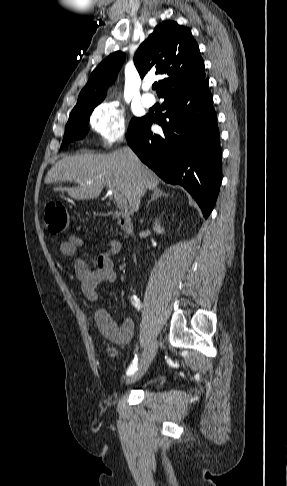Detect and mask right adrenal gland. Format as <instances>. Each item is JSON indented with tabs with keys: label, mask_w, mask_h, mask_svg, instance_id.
Returning a JSON list of instances; mask_svg holds the SVG:
<instances>
[{
	"label": "right adrenal gland",
	"mask_w": 287,
	"mask_h": 486,
	"mask_svg": "<svg viewBox=\"0 0 287 486\" xmlns=\"http://www.w3.org/2000/svg\"><path fill=\"white\" fill-rule=\"evenodd\" d=\"M161 196H164V197H168L169 194L168 193H165L162 191V189L160 188H155L154 191H153V194L151 196V199L148 201L147 203V206L152 202V201H155L157 198L161 197Z\"/></svg>",
	"instance_id": "right-adrenal-gland-1"
}]
</instances>
